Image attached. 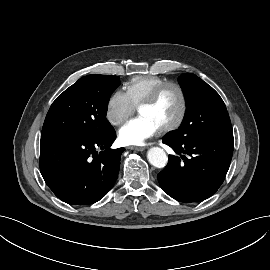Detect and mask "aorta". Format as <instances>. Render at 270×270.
Here are the masks:
<instances>
[{
  "label": "aorta",
  "instance_id": "762f6f07",
  "mask_svg": "<svg viewBox=\"0 0 270 270\" xmlns=\"http://www.w3.org/2000/svg\"><path fill=\"white\" fill-rule=\"evenodd\" d=\"M147 158L151 165L156 168H164L168 162L165 151L159 147H152L147 152Z\"/></svg>",
  "mask_w": 270,
  "mask_h": 270
}]
</instances>
